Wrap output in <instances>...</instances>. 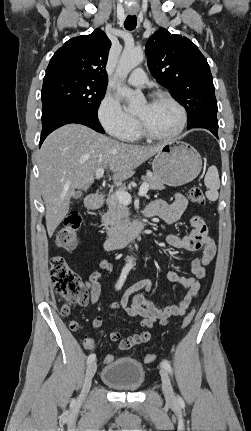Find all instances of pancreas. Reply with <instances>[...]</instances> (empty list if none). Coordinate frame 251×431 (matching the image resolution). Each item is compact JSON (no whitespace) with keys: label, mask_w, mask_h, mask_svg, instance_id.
Returning a JSON list of instances; mask_svg holds the SVG:
<instances>
[{"label":"pancreas","mask_w":251,"mask_h":431,"mask_svg":"<svg viewBox=\"0 0 251 431\" xmlns=\"http://www.w3.org/2000/svg\"><path fill=\"white\" fill-rule=\"evenodd\" d=\"M143 181L146 182L152 190H163L165 188L163 183L149 171L147 175L143 177ZM127 189L128 188L124 185L119 191H127ZM106 203L108 211L102 216V225L106 229L108 237H113L128 227L129 211L126 205L122 204L117 199L116 192L108 195Z\"/></svg>","instance_id":"obj_1"}]
</instances>
